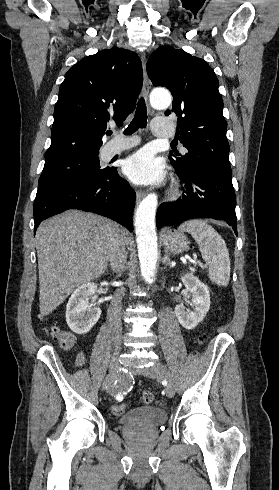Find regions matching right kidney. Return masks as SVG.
Here are the masks:
<instances>
[{"label": "right kidney", "instance_id": "ca27d5eb", "mask_svg": "<svg viewBox=\"0 0 279 490\" xmlns=\"http://www.w3.org/2000/svg\"><path fill=\"white\" fill-rule=\"evenodd\" d=\"M96 284L88 282L76 288L66 308V322L75 334H87L101 316V308H93L88 300L96 292Z\"/></svg>", "mask_w": 279, "mask_h": 490}]
</instances>
